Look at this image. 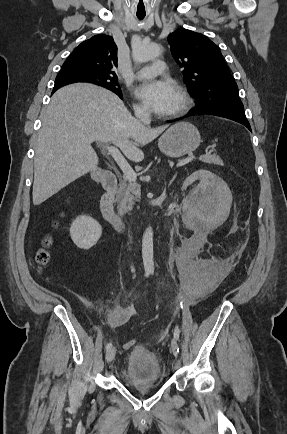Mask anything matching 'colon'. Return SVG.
<instances>
[{"label": "colon", "instance_id": "5ec220e1", "mask_svg": "<svg viewBox=\"0 0 287 434\" xmlns=\"http://www.w3.org/2000/svg\"><path fill=\"white\" fill-rule=\"evenodd\" d=\"M50 244H51V238L45 237L42 241L41 247L37 250L35 254V261L39 268L45 266L49 261L50 256L48 252V247L50 246ZM134 345H135V341L130 340L124 344V348L131 349L134 347Z\"/></svg>", "mask_w": 287, "mask_h": 434}]
</instances>
